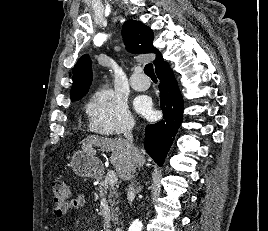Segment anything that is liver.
<instances>
[{
  "label": "liver",
  "mask_w": 268,
  "mask_h": 231,
  "mask_svg": "<svg viewBox=\"0 0 268 231\" xmlns=\"http://www.w3.org/2000/svg\"><path fill=\"white\" fill-rule=\"evenodd\" d=\"M94 147H99L102 151L111 152L110 162L114 166L116 173L123 180H128L130 170L133 167V160L130 149L127 148L125 139L103 138L99 136H88L82 140V149L96 154ZM140 152L138 166L145 162L144 151Z\"/></svg>",
  "instance_id": "liver-1"
}]
</instances>
